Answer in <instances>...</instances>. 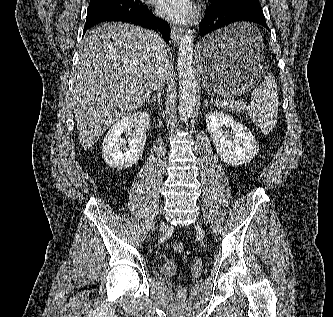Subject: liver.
Listing matches in <instances>:
<instances>
[{
	"label": "liver",
	"instance_id": "liver-1",
	"mask_svg": "<svg viewBox=\"0 0 333 317\" xmlns=\"http://www.w3.org/2000/svg\"><path fill=\"white\" fill-rule=\"evenodd\" d=\"M161 48L155 32L127 23L105 24L87 34L74 76L72 101L84 150L110 125L150 99ZM166 59L170 79L173 60L169 50Z\"/></svg>",
	"mask_w": 333,
	"mask_h": 317
}]
</instances>
